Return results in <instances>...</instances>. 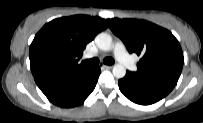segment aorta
<instances>
[{
  "label": "aorta",
  "mask_w": 203,
  "mask_h": 123,
  "mask_svg": "<svg viewBox=\"0 0 203 123\" xmlns=\"http://www.w3.org/2000/svg\"><path fill=\"white\" fill-rule=\"evenodd\" d=\"M97 47L103 51L112 49V37L108 33L101 32L95 37ZM114 77L120 79L126 74V69L121 64H115L112 70Z\"/></svg>",
  "instance_id": "aorta-1"
}]
</instances>
